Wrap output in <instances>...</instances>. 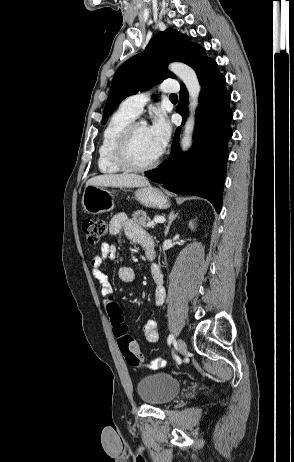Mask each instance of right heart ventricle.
I'll return each mask as SVG.
<instances>
[{"label": "right heart ventricle", "instance_id": "right-heart-ventricle-1", "mask_svg": "<svg viewBox=\"0 0 294 462\" xmlns=\"http://www.w3.org/2000/svg\"><path fill=\"white\" fill-rule=\"evenodd\" d=\"M135 117V115L124 109L122 105L110 117L103 130L98 148L97 165L101 173L116 174L123 171L113 160V146L123 128L132 122Z\"/></svg>", "mask_w": 294, "mask_h": 462}]
</instances>
